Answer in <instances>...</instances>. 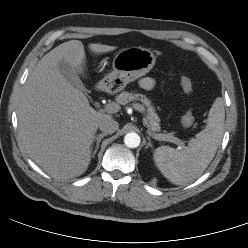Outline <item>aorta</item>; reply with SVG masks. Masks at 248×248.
I'll return each mask as SVG.
<instances>
[{
    "label": "aorta",
    "mask_w": 248,
    "mask_h": 248,
    "mask_svg": "<svg viewBox=\"0 0 248 248\" xmlns=\"http://www.w3.org/2000/svg\"><path fill=\"white\" fill-rule=\"evenodd\" d=\"M140 136L135 132H129L124 137V143L129 148H136L140 145Z\"/></svg>",
    "instance_id": "1"
}]
</instances>
